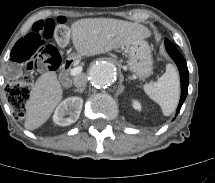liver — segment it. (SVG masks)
Segmentation results:
<instances>
[{
  "label": "liver",
  "instance_id": "1",
  "mask_svg": "<svg viewBox=\"0 0 215 183\" xmlns=\"http://www.w3.org/2000/svg\"><path fill=\"white\" fill-rule=\"evenodd\" d=\"M71 37L78 56H94L151 36L144 25L110 18L81 19L71 26ZM63 90L55 72L42 74L30 91L24 126L35 130L51 116L62 100Z\"/></svg>",
  "mask_w": 215,
  "mask_h": 183
}]
</instances>
